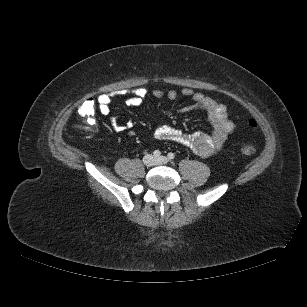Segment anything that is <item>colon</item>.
<instances>
[{
    "label": "colon",
    "instance_id": "obj_1",
    "mask_svg": "<svg viewBox=\"0 0 307 307\" xmlns=\"http://www.w3.org/2000/svg\"><path fill=\"white\" fill-rule=\"evenodd\" d=\"M96 110H97V103L92 98H89L85 102H83V104L79 108V114L84 119V121L86 122V124H87L86 128L88 130H91L92 126L94 125L93 118L95 116ZM248 125L252 129L258 128V123L254 119H251L248 122ZM240 151H241L242 154H244L246 156H252L256 153V149L254 148V146H252L248 143L241 144L240 145Z\"/></svg>",
    "mask_w": 307,
    "mask_h": 307
}]
</instances>
